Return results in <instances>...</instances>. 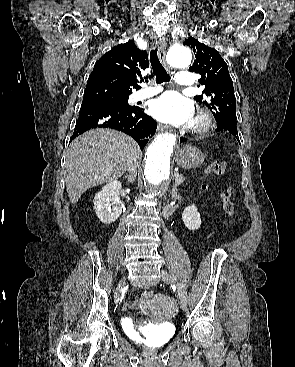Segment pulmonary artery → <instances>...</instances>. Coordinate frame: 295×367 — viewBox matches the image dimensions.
Wrapping results in <instances>:
<instances>
[{"instance_id":"e3ab8cb5","label":"pulmonary artery","mask_w":295,"mask_h":367,"mask_svg":"<svg viewBox=\"0 0 295 367\" xmlns=\"http://www.w3.org/2000/svg\"><path fill=\"white\" fill-rule=\"evenodd\" d=\"M176 82H177L178 85L189 87V86L194 85V78H193V75L190 72L180 71L176 75ZM161 91H162L161 86H156V87H151V88H144L143 90L138 91L137 93H135L133 98L136 101L144 100L146 98H149V97H152V96L158 94Z\"/></svg>"}]
</instances>
